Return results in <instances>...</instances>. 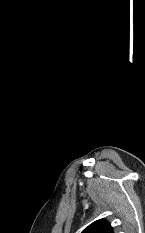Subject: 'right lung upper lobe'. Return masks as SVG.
Listing matches in <instances>:
<instances>
[{
  "label": "right lung upper lobe",
  "mask_w": 145,
  "mask_h": 233,
  "mask_svg": "<svg viewBox=\"0 0 145 233\" xmlns=\"http://www.w3.org/2000/svg\"><path fill=\"white\" fill-rule=\"evenodd\" d=\"M82 233H113L112 227L104 219L97 220L85 228Z\"/></svg>",
  "instance_id": "right-lung-upper-lobe-1"
}]
</instances>
